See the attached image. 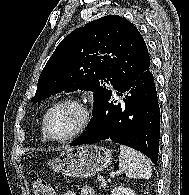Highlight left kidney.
<instances>
[{"mask_svg": "<svg viewBox=\"0 0 189 195\" xmlns=\"http://www.w3.org/2000/svg\"><path fill=\"white\" fill-rule=\"evenodd\" d=\"M110 195H135V193L129 188L120 186L118 188H114Z\"/></svg>", "mask_w": 189, "mask_h": 195, "instance_id": "left-kidney-1", "label": "left kidney"}]
</instances>
